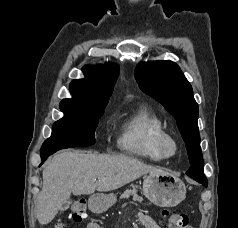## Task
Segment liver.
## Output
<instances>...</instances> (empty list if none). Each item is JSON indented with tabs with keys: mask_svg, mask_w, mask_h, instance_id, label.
I'll use <instances>...</instances> for the list:
<instances>
[{
	"mask_svg": "<svg viewBox=\"0 0 238 228\" xmlns=\"http://www.w3.org/2000/svg\"><path fill=\"white\" fill-rule=\"evenodd\" d=\"M162 171L125 155L61 152L43 170V187L36 201L37 219L42 225L51 222L68 203L71 193L90 195L95 190L111 191L142 175Z\"/></svg>",
	"mask_w": 238,
	"mask_h": 228,
	"instance_id": "6515ba94",
	"label": "liver"
}]
</instances>
